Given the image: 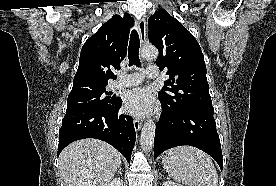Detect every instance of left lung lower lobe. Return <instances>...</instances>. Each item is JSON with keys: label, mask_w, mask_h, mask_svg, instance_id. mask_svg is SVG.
I'll return each instance as SVG.
<instances>
[{"label": "left lung lower lobe", "mask_w": 276, "mask_h": 186, "mask_svg": "<svg viewBox=\"0 0 276 186\" xmlns=\"http://www.w3.org/2000/svg\"><path fill=\"white\" fill-rule=\"evenodd\" d=\"M159 100L163 116L156 124L154 158L167 149L189 145L209 154L222 170V151L213 107L178 111L166 105L160 96Z\"/></svg>", "instance_id": "0a47b994"}]
</instances>
